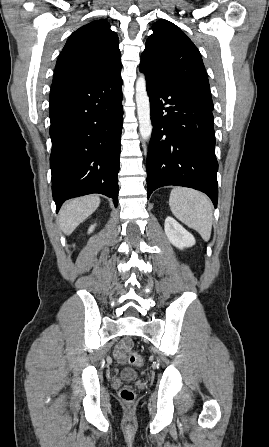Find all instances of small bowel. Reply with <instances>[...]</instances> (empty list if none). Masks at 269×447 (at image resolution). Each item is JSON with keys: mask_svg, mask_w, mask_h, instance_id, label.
Returning <instances> with one entry per match:
<instances>
[{"mask_svg": "<svg viewBox=\"0 0 269 447\" xmlns=\"http://www.w3.org/2000/svg\"><path fill=\"white\" fill-rule=\"evenodd\" d=\"M127 349V346L124 344H121L120 347L117 348L115 355L118 359H120L121 361L124 360L125 357V350Z\"/></svg>", "mask_w": 269, "mask_h": 447, "instance_id": "1", "label": "small bowel"}]
</instances>
